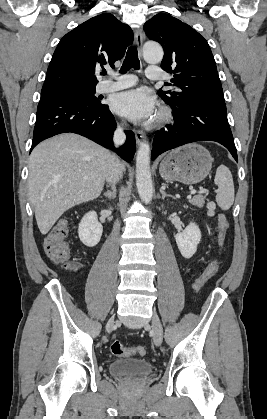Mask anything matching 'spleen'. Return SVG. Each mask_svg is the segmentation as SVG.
<instances>
[{
    "mask_svg": "<svg viewBox=\"0 0 267 419\" xmlns=\"http://www.w3.org/2000/svg\"><path fill=\"white\" fill-rule=\"evenodd\" d=\"M214 182L218 186L216 202L222 210H228L233 205L235 196L233 178L229 168L220 165L217 168Z\"/></svg>",
    "mask_w": 267,
    "mask_h": 419,
    "instance_id": "obj_1",
    "label": "spleen"
}]
</instances>
